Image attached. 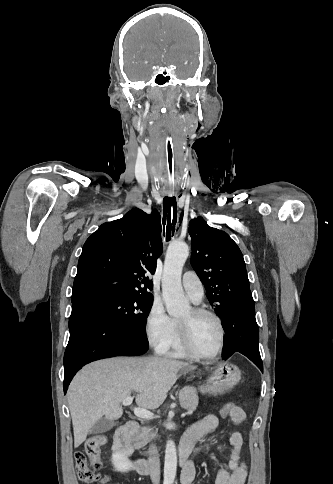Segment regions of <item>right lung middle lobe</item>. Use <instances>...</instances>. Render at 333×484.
<instances>
[{
  "instance_id": "right-lung-middle-lobe-1",
  "label": "right lung middle lobe",
  "mask_w": 333,
  "mask_h": 484,
  "mask_svg": "<svg viewBox=\"0 0 333 484\" xmlns=\"http://www.w3.org/2000/svg\"><path fill=\"white\" fill-rule=\"evenodd\" d=\"M82 299L100 306L111 319L133 335L147 339L145 326L153 303L152 296L93 292Z\"/></svg>"
}]
</instances>
